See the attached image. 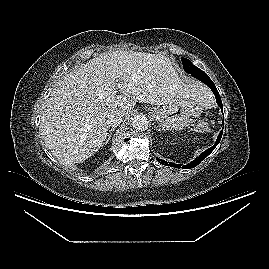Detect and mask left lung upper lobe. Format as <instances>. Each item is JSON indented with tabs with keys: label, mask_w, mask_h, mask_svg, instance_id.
I'll return each instance as SVG.
<instances>
[{
	"label": "left lung upper lobe",
	"mask_w": 269,
	"mask_h": 269,
	"mask_svg": "<svg viewBox=\"0 0 269 269\" xmlns=\"http://www.w3.org/2000/svg\"><path fill=\"white\" fill-rule=\"evenodd\" d=\"M182 63H183V68L185 70V72L192 74L194 72H197L199 69L198 67H196L195 65H193L188 59L186 58H181Z\"/></svg>",
	"instance_id": "5c2ea615"
}]
</instances>
